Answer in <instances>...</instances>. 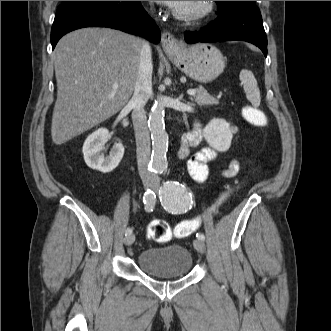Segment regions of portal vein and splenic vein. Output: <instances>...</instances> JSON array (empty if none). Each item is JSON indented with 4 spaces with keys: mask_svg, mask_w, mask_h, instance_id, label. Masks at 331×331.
Returning a JSON list of instances; mask_svg holds the SVG:
<instances>
[{
    "mask_svg": "<svg viewBox=\"0 0 331 331\" xmlns=\"http://www.w3.org/2000/svg\"><path fill=\"white\" fill-rule=\"evenodd\" d=\"M112 88H113V89H117V88H118V84H116V83L113 84ZM187 93H188L189 95L193 96V95L196 94V90H195V89H190V90L187 91Z\"/></svg>",
    "mask_w": 331,
    "mask_h": 331,
    "instance_id": "18ae733b",
    "label": "portal vein and splenic vein"
}]
</instances>
